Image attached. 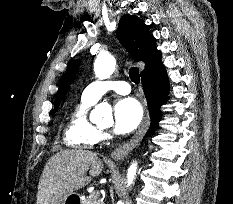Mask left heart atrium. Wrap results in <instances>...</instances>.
<instances>
[{"instance_id":"1","label":"left heart atrium","mask_w":233,"mask_h":204,"mask_svg":"<svg viewBox=\"0 0 233 204\" xmlns=\"http://www.w3.org/2000/svg\"><path fill=\"white\" fill-rule=\"evenodd\" d=\"M143 117L141 104L134 98L119 100L114 106V131L127 134L135 130Z\"/></svg>"}]
</instances>
